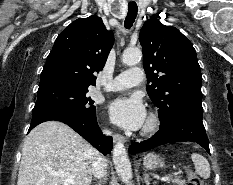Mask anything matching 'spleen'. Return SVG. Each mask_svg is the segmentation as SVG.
I'll use <instances>...</instances> for the list:
<instances>
[{
	"instance_id": "obj_1",
	"label": "spleen",
	"mask_w": 233,
	"mask_h": 185,
	"mask_svg": "<svg viewBox=\"0 0 233 185\" xmlns=\"http://www.w3.org/2000/svg\"><path fill=\"white\" fill-rule=\"evenodd\" d=\"M191 159L195 166L196 173L203 179H208L210 177L211 169L208 160L197 153L191 155Z\"/></svg>"
}]
</instances>
